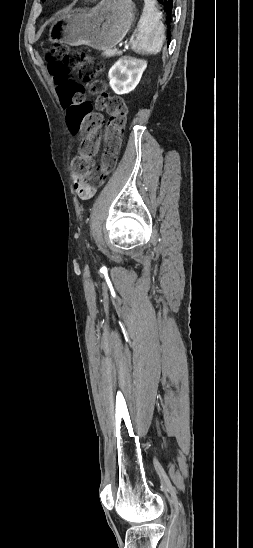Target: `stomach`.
Instances as JSON below:
<instances>
[{
	"mask_svg": "<svg viewBox=\"0 0 253 548\" xmlns=\"http://www.w3.org/2000/svg\"><path fill=\"white\" fill-rule=\"evenodd\" d=\"M132 0H102L92 9H75L56 21L52 39L87 45L99 51L115 47L128 33L135 18Z\"/></svg>",
	"mask_w": 253,
	"mask_h": 548,
	"instance_id": "0dacf381",
	"label": "stomach"
}]
</instances>
